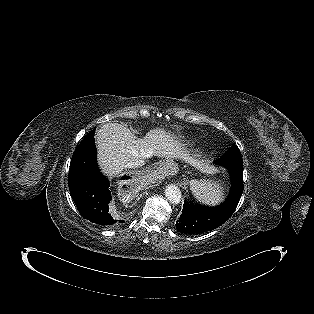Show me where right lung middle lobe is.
<instances>
[{"label": "right lung middle lobe", "mask_w": 314, "mask_h": 314, "mask_svg": "<svg viewBox=\"0 0 314 314\" xmlns=\"http://www.w3.org/2000/svg\"><path fill=\"white\" fill-rule=\"evenodd\" d=\"M94 133H95V130L90 131L88 135H86V137L81 141L80 144L90 141V139L94 136Z\"/></svg>", "instance_id": "dd1d6c3e"}]
</instances>
